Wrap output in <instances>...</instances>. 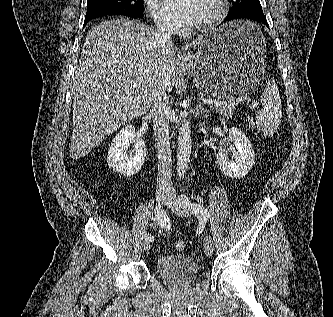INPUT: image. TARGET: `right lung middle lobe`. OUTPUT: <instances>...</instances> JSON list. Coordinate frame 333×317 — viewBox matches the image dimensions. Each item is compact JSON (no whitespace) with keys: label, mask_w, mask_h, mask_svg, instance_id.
I'll use <instances>...</instances> for the list:
<instances>
[{"label":"right lung middle lobe","mask_w":333,"mask_h":317,"mask_svg":"<svg viewBox=\"0 0 333 317\" xmlns=\"http://www.w3.org/2000/svg\"><path fill=\"white\" fill-rule=\"evenodd\" d=\"M86 17L103 15H126L141 17L143 14L142 0H88Z\"/></svg>","instance_id":"obj_1"}]
</instances>
